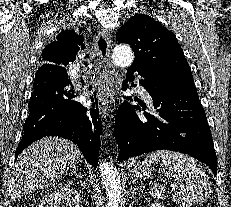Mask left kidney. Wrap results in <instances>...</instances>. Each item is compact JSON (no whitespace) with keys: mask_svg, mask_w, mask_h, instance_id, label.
Returning a JSON list of instances; mask_svg holds the SVG:
<instances>
[{"mask_svg":"<svg viewBox=\"0 0 231 207\" xmlns=\"http://www.w3.org/2000/svg\"><path fill=\"white\" fill-rule=\"evenodd\" d=\"M151 207H165V206H163V204H161V203L154 202V203L151 205Z\"/></svg>","mask_w":231,"mask_h":207,"instance_id":"obj_1","label":"left kidney"}]
</instances>
